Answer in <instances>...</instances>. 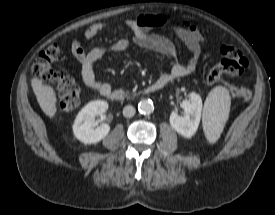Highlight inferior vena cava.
Instances as JSON below:
<instances>
[{
	"instance_id": "1",
	"label": "inferior vena cava",
	"mask_w": 275,
	"mask_h": 215,
	"mask_svg": "<svg viewBox=\"0 0 275 215\" xmlns=\"http://www.w3.org/2000/svg\"><path fill=\"white\" fill-rule=\"evenodd\" d=\"M135 112H136L135 108L131 105H127L123 109V115L128 118L133 117L135 115Z\"/></svg>"
}]
</instances>
